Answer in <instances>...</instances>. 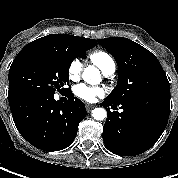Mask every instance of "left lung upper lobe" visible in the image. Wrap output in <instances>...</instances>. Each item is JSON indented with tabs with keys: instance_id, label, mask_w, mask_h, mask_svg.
I'll return each mask as SVG.
<instances>
[{
	"instance_id": "obj_1",
	"label": "left lung upper lobe",
	"mask_w": 178,
	"mask_h": 178,
	"mask_svg": "<svg viewBox=\"0 0 178 178\" xmlns=\"http://www.w3.org/2000/svg\"><path fill=\"white\" fill-rule=\"evenodd\" d=\"M115 58L119 76L105 98L115 104L141 103L170 112V84L158 59L149 50L124 37L99 39Z\"/></svg>"
}]
</instances>
